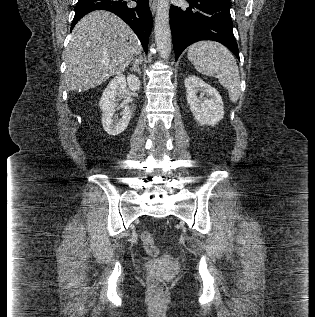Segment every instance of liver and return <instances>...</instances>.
Wrapping results in <instances>:
<instances>
[{
	"instance_id": "obj_1",
	"label": "liver",
	"mask_w": 315,
	"mask_h": 317,
	"mask_svg": "<svg viewBox=\"0 0 315 317\" xmlns=\"http://www.w3.org/2000/svg\"><path fill=\"white\" fill-rule=\"evenodd\" d=\"M141 53L132 29L107 11H94L74 27L65 51V82L69 90L86 91L120 74Z\"/></svg>"
}]
</instances>
